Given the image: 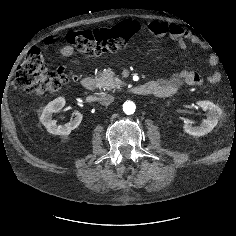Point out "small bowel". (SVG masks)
<instances>
[{"instance_id":"small-bowel-1","label":"small bowel","mask_w":236,"mask_h":236,"mask_svg":"<svg viewBox=\"0 0 236 236\" xmlns=\"http://www.w3.org/2000/svg\"><path fill=\"white\" fill-rule=\"evenodd\" d=\"M146 30L156 37L169 36L177 42L181 49H187L188 41L196 42L197 37L194 33L188 32L183 27L166 22L150 21L145 25ZM61 54L70 58V62L75 65H83L84 63L78 59L72 58L75 50L71 46L61 48ZM214 56H210V61L214 62ZM221 79L219 72H214L208 76L211 83H218ZM202 82V77L199 73L193 70H182L179 73L173 74L169 78H160L149 82L153 86V95L157 97H168L175 94L183 85L197 86Z\"/></svg>"}]
</instances>
